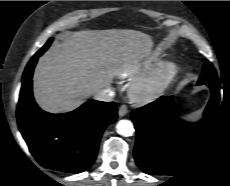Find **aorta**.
Returning a JSON list of instances; mask_svg holds the SVG:
<instances>
[{"instance_id":"obj_1","label":"aorta","mask_w":230,"mask_h":186,"mask_svg":"<svg viewBox=\"0 0 230 186\" xmlns=\"http://www.w3.org/2000/svg\"><path fill=\"white\" fill-rule=\"evenodd\" d=\"M117 133L129 137L134 133V126L130 120H120L116 125Z\"/></svg>"}]
</instances>
